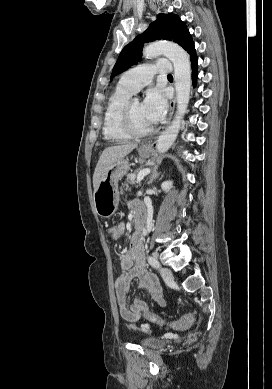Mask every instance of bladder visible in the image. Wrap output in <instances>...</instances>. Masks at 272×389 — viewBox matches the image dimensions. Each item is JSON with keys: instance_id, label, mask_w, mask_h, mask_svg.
<instances>
[{"instance_id": "31cf9c89", "label": "bladder", "mask_w": 272, "mask_h": 389, "mask_svg": "<svg viewBox=\"0 0 272 389\" xmlns=\"http://www.w3.org/2000/svg\"><path fill=\"white\" fill-rule=\"evenodd\" d=\"M140 345L149 349H159L163 347L164 341L160 338H145L140 341Z\"/></svg>"}]
</instances>
